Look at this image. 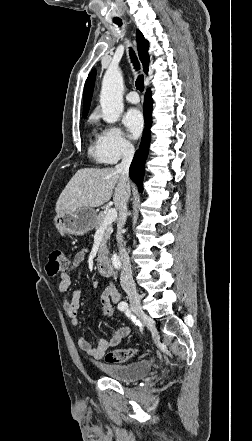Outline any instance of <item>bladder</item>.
Segmentation results:
<instances>
[{"label":"bladder","instance_id":"obj_1","mask_svg":"<svg viewBox=\"0 0 252 441\" xmlns=\"http://www.w3.org/2000/svg\"><path fill=\"white\" fill-rule=\"evenodd\" d=\"M97 366L106 377L123 382L139 380L151 371V363L147 359L131 363H99Z\"/></svg>","mask_w":252,"mask_h":441}]
</instances>
